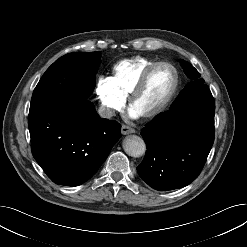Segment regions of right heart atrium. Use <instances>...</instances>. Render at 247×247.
<instances>
[{"label":"right heart atrium","instance_id":"obj_1","mask_svg":"<svg viewBox=\"0 0 247 247\" xmlns=\"http://www.w3.org/2000/svg\"><path fill=\"white\" fill-rule=\"evenodd\" d=\"M95 94L99 102L100 113L111 117L125 105L123 97L111 84L109 77H99L95 84Z\"/></svg>","mask_w":247,"mask_h":247}]
</instances>
